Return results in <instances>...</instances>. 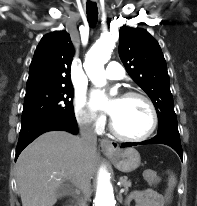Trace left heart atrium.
<instances>
[{"mask_svg": "<svg viewBox=\"0 0 197 206\" xmlns=\"http://www.w3.org/2000/svg\"><path fill=\"white\" fill-rule=\"evenodd\" d=\"M93 103L96 107L105 109L111 115L114 112V103H113V101L107 103L104 99L103 94L100 91H95L93 93Z\"/></svg>", "mask_w": 197, "mask_h": 206, "instance_id": "39dd6f15", "label": "left heart atrium"}]
</instances>
